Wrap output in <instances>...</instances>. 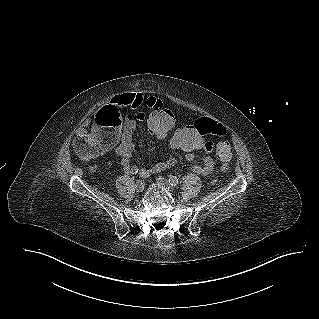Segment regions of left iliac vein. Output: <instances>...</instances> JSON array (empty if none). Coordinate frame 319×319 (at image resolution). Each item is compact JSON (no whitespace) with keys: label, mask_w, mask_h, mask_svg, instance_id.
Here are the masks:
<instances>
[{"label":"left iliac vein","mask_w":319,"mask_h":319,"mask_svg":"<svg viewBox=\"0 0 319 319\" xmlns=\"http://www.w3.org/2000/svg\"><path fill=\"white\" fill-rule=\"evenodd\" d=\"M156 182L160 186L166 188L169 192H173L174 191V189L171 187V185L169 184V182L165 178L159 176V177L156 178Z\"/></svg>","instance_id":"left-iliac-vein-1"}]
</instances>
